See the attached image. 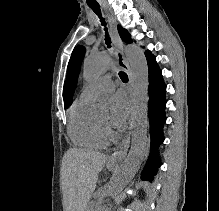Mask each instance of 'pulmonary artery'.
Listing matches in <instances>:
<instances>
[{
  "label": "pulmonary artery",
  "instance_id": "obj_1",
  "mask_svg": "<svg viewBox=\"0 0 219 211\" xmlns=\"http://www.w3.org/2000/svg\"><path fill=\"white\" fill-rule=\"evenodd\" d=\"M114 88L112 75H102L93 84L82 90L80 99L91 102L102 94L112 92Z\"/></svg>",
  "mask_w": 219,
  "mask_h": 211
}]
</instances>
